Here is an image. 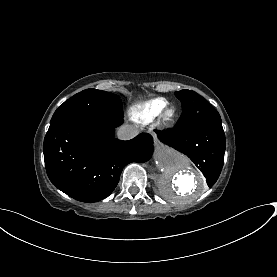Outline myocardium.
<instances>
[{"label":"myocardium","mask_w":277,"mask_h":277,"mask_svg":"<svg viewBox=\"0 0 277 277\" xmlns=\"http://www.w3.org/2000/svg\"><path fill=\"white\" fill-rule=\"evenodd\" d=\"M176 116V109L173 106L167 105L159 112L157 124L161 127H168L174 123Z\"/></svg>","instance_id":"myocardium-1"}]
</instances>
